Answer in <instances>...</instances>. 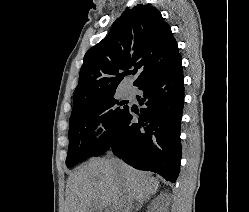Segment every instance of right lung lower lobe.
Masks as SVG:
<instances>
[{
    "instance_id": "98d812e1",
    "label": "right lung lower lobe",
    "mask_w": 249,
    "mask_h": 212,
    "mask_svg": "<svg viewBox=\"0 0 249 212\" xmlns=\"http://www.w3.org/2000/svg\"><path fill=\"white\" fill-rule=\"evenodd\" d=\"M181 55L138 86L139 122L133 123L135 110L128 107L113 126L99 152L108 150L139 170L152 171L175 182L180 171V124L184 102ZM136 113V112H135ZM100 154V155H101ZM99 156V155H98Z\"/></svg>"
}]
</instances>
